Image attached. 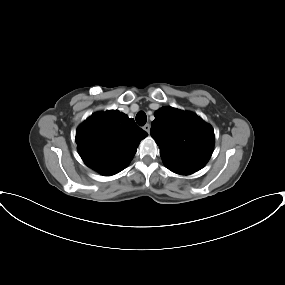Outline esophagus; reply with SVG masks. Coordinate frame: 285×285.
I'll return each mask as SVG.
<instances>
[{"label":"esophagus","mask_w":285,"mask_h":285,"mask_svg":"<svg viewBox=\"0 0 285 285\" xmlns=\"http://www.w3.org/2000/svg\"><path fill=\"white\" fill-rule=\"evenodd\" d=\"M150 124L149 123H147V124H145L144 126H143V129L147 132V133H150Z\"/></svg>","instance_id":"34e87169"}]
</instances>
